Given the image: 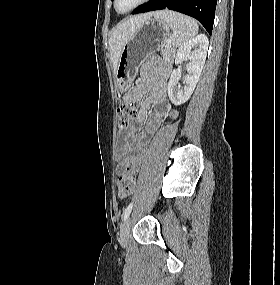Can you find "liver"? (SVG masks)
Here are the masks:
<instances>
[{
  "mask_svg": "<svg viewBox=\"0 0 280 285\" xmlns=\"http://www.w3.org/2000/svg\"><path fill=\"white\" fill-rule=\"evenodd\" d=\"M156 14L157 12H152L131 17L120 23L113 31L109 39V50L114 71L117 69L120 55L125 43L136 32L140 25L149 20L152 16H156Z\"/></svg>",
  "mask_w": 280,
  "mask_h": 285,
  "instance_id": "liver-1",
  "label": "liver"
}]
</instances>
